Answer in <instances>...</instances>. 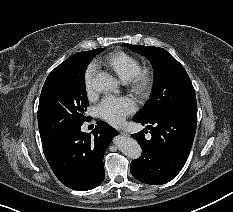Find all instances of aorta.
Returning <instances> with one entry per match:
<instances>
[{
    "mask_svg": "<svg viewBox=\"0 0 233 212\" xmlns=\"http://www.w3.org/2000/svg\"><path fill=\"white\" fill-rule=\"evenodd\" d=\"M117 87V80L107 73L97 74L92 81V88L101 93L115 92ZM114 142L119 150L131 159H138L142 154V149L139 143L133 138L117 136L114 139Z\"/></svg>",
    "mask_w": 233,
    "mask_h": 212,
    "instance_id": "obj_1",
    "label": "aorta"
}]
</instances>
